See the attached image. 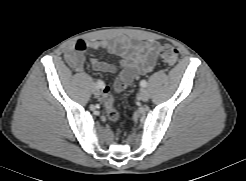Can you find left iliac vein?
<instances>
[{
    "label": "left iliac vein",
    "instance_id": "left-iliac-vein-1",
    "mask_svg": "<svg viewBox=\"0 0 246 181\" xmlns=\"http://www.w3.org/2000/svg\"><path fill=\"white\" fill-rule=\"evenodd\" d=\"M150 95L149 92L146 89H142L139 93V99L146 102L148 101Z\"/></svg>",
    "mask_w": 246,
    "mask_h": 181
}]
</instances>
